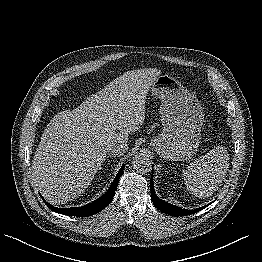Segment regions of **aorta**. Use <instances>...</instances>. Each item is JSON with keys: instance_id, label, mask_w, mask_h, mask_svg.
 I'll return each mask as SVG.
<instances>
[{"instance_id": "aorta-1", "label": "aorta", "mask_w": 262, "mask_h": 262, "mask_svg": "<svg viewBox=\"0 0 262 262\" xmlns=\"http://www.w3.org/2000/svg\"><path fill=\"white\" fill-rule=\"evenodd\" d=\"M132 167L137 172H148L151 169V162L145 155H136L132 160Z\"/></svg>"}]
</instances>
